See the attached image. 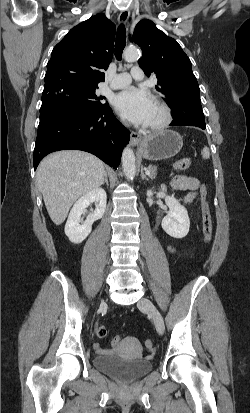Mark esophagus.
Segmentation results:
<instances>
[{
	"label": "esophagus",
	"instance_id": "34e87169",
	"mask_svg": "<svg viewBox=\"0 0 250 413\" xmlns=\"http://www.w3.org/2000/svg\"><path fill=\"white\" fill-rule=\"evenodd\" d=\"M130 16V11L128 9H125L121 11V13L118 16V23L119 24H125ZM141 140V136L136 133V132H131L130 134V144L132 146H136Z\"/></svg>",
	"mask_w": 250,
	"mask_h": 413
}]
</instances>
